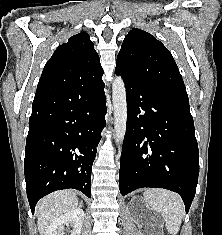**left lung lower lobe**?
<instances>
[{"label":"left lung lower lobe","instance_id":"obj_1","mask_svg":"<svg viewBox=\"0 0 222 235\" xmlns=\"http://www.w3.org/2000/svg\"><path fill=\"white\" fill-rule=\"evenodd\" d=\"M115 71L124 80L128 108L119 171L121 194L142 187L169 189L181 195L188 212L199 174L189 103Z\"/></svg>","mask_w":222,"mask_h":235}]
</instances>
